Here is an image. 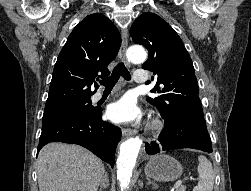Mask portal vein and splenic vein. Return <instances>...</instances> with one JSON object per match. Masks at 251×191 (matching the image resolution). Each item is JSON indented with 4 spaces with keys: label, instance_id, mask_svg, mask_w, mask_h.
Returning <instances> with one entry per match:
<instances>
[{
    "label": "portal vein and splenic vein",
    "instance_id": "obj_1",
    "mask_svg": "<svg viewBox=\"0 0 251 191\" xmlns=\"http://www.w3.org/2000/svg\"><path fill=\"white\" fill-rule=\"evenodd\" d=\"M181 183H182V181H181V179H179V181H177L175 183V186L179 187L181 185ZM185 183H194V180H185Z\"/></svg>",
    "mask_w": 251,
    "mask_h": 191
}]
</instances>
